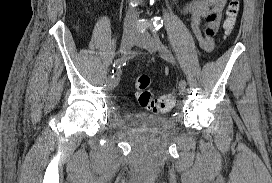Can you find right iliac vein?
<instances>
[{
    "label": "right iliac vein",
    "instance_id": "63e3f726",
    "mask_svg": "<svg viewBox=\"0 0 272 183\" xmlns=\"http://www.w3.org/2000/svg\"><path fill=\"white\" fill-rule=\"evenodd\" d=\"M136 43V35L132 31H128L124 33L122 42H121V48L120 51L123 55L128 54L132 46ZM119 82V78H117L116 81H111L108 77L106 79L107 87L109 89H114Z\"/></svg>",
    "mask_w": 272,
    "mask_h": 183
}]
</instances>
